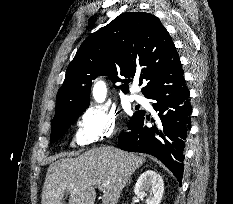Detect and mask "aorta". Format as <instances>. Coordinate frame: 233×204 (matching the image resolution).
<instances>
[{"mask_svg": "<svg viewBox=\"0 0 233 204\" xmlns=\"http://www.w3.org/2000/svg\"><path fill=\"white\" fill-rule=\"evenodd\" d=\"M93 97L98 103L104 102L107 94L106 85L102 81H97L93 87Z\"/></svg>", "mask_w": 233, "mask_h": 204, "instance_id": "obj_1", "label": "aorta"}]
</instances>
